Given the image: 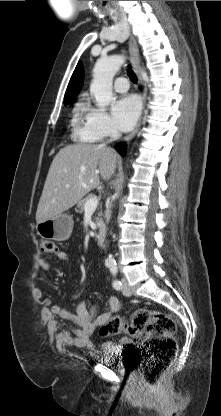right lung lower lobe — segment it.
Wrapping results in <instances>:
<instances>
[{"label":"right lung lower lobe","mask_w":221,"mask_h":416,"mask_svg":"<svg viewBox=\"0 0 221 416\" xmlns=\"http://www.w3.org/2000/svg\"><path fill=\"white\" fill-rule=\"evenodd\" d=\"M115 149L122 155V156H124L125 155V153H126V149H125V146L124 145H122V144H118L116 147H115Z\"/></svg>","instance_id":"1"}]
</instances>
